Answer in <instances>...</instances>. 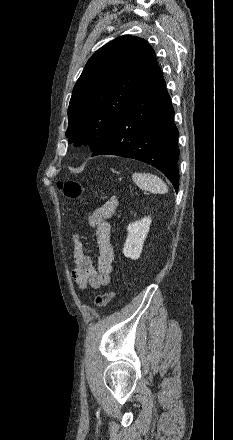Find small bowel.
<instances>
[{
	"instance_id": "obj_1",
	"label": "small bowel",
	"mask_w": 233,
	"mask_h": 440,
	"mask_svg": "<svg viewBox=\"0 0 233 440\" xmlns=\"http://www.w3.org/2000/svg\"><path fill=\"white\" fill-rule=\"evenodd\" d=\"M118 204L117 197L111 196L87 217L89 226L95 229L98 245L96 266L93 265L91 258L84 252L79 236L76 234L73 237L74 267L71 275L82 289L87 287L98 289L110 282L115 255L110 241L111 226L108 220L114 215Z\"/></svg>"
}]
</instances>
